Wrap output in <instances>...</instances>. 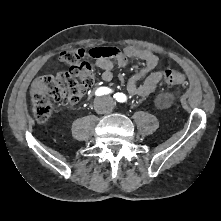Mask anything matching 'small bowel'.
I'll return each instance as SVG.
<instances>
[{
    "label": "small bowel",
    "mask_w": 221,
    "mask_h": 221,
    "mask_svg": "<svg viewBox=\"0 0 221 221\" xmlns=\"http://www.w3.org/2000/svg\"><path fill=\"white\" fill-rule=\"evenodd\" d=\"M110 54L95 58V65L102 70L101 79L109 82L113 79L115 68L125 67L131 58L143 62L142 68L135 73L127 82V92L132 96L146 97L155 91L157 85L163 78L162 70H158L159 59L148 50L139 49L133 46L124 48L123 51L117 48L108 47Z\"/></svg>",
    "instance_id": "small-bowel-1"
}]
</instances>
